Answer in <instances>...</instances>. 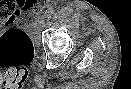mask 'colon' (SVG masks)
<instances>
[{"label": "colon", "mask_w": 131, "mask_h": 89, "mask_svg": "<svg viewBox=\"0 0 131 89\" xmlns=\"http://www.w3.org/2000/svg\"><path fill=\"white\" fill-rule=\"evenodd\" d=\"M31 7H24L13 0H0V23L13 17L29 25L34 22L33 14L26 13ZM26 13V14H24ZM34 56V45L30 37L21 29H11L0 36V82L6 88H20L27 78V66Z\"/></svg>", "instance_id": "colon-1"}]
</instances>
